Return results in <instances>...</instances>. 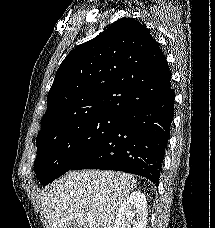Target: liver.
Here are the masks:
<instances>
[{
    "label": "liver",
    "mask_w": 215,
    "mask_h": 228,
    "mask_svg": "<svg viewBox=\"0 0 215 228\" xmlns=\"http://www.w3.org/2000/svg\"><path fill=\"white\" fill-rule=\"evenodd\" d=\"M136 186L132 174L76 170L45 186L40 202L49 228H113L120 204Z\"/></svg>",
    "instance_id": "1"
}]
</instances>
